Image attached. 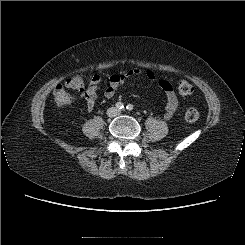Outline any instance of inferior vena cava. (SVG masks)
I'll return each instance as SVG.
<instances>
[{
    "mask_svg": "<svg viewBox=\"0 0 245 245\" xmlns=\"http://www.w3.org/2000/svg\"><path fill=\"white\" fill-rule=\"evenodd\" d=\"M119 114H120V110H118V109H112V113L110 114V116L115 117V116H117Z\"/></svg>",
    "mask_w": 245,
    "mask_h": 245,
    "instance_id": "obj_1",
    "label": "inferior vena cava"
}]
</instances>
